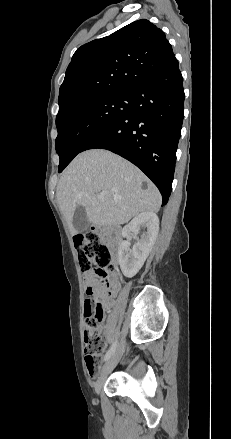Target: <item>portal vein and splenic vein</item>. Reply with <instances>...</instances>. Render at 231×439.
Masks as SVG:
<instances>
[{
    "instance_id": "18ae733b",
    "label": "portal vein and splenic vein",
    "mask_w": 231,
    "mask_h": 439,
    "mask_svg": "<svg viewBox=\"0 0 231 439\" xmlns=\"http://www.w3.org/2000/svg\"><path fill=\"white\" fill-rule=\"evenodd\" d=\"M97 198H98L99 200H102V199L104 198V194H98V195H97Z\"/></svg>"
}]
</instances>
